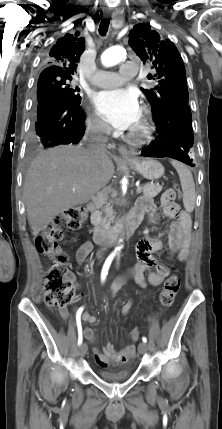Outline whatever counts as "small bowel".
I'll list each match as a JSON object with an SVG mask.
<instances>
[{
    "mask_svg": "<svg viewBox=\"0 0 222 429\" xmlns=\"http://www.w3.org/2000/svg\"><path fill=\"white\" fill-rule=\"evenodd\" d=\"M163 214L172 218L174 221L170 227V233L167 245L170 251L175 254L180 261L187 260L189 256L192 221L187 212L178 204H165L162 202ZM133 211L148 215L150 223H158L157 209L150 198H141L137 201ZM164 243L154 238H144L136 246L138 261L130 268L112 287L111 294L115 295L120 287L128 280H134L141 288L147 286L146 276L151 285H159L169 275L168 266L159 263L154 257V253L160 251ZM93 250V244L90 241L83 242L75 253L77 263L82 264ZM132 306V301L126 302L121 313L125 316ZM63 318L68 317L66 307L60 309ZM82 319L86 323H95L96 317L84 311ZM84 337L90 342L95 341V333L92 329L86 327L83 330ZM135 354V346L132 344L124 345L120 350H116L114 345L108 342L102 351L94 349V357L98 364L107 367L110 364L122 365L127 363Z\"/></svg>",
    "mask_w": 222,
    "mask_h": 429,
    "instance_id": "c3829d8e",
    "label": "small bowel"
}]
</instances>
